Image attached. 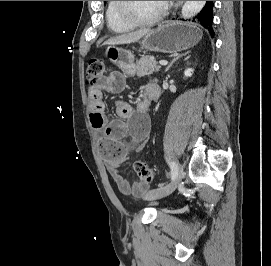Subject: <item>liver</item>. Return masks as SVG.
I'll return each mask as SVG.
<instances>
[{"mask_svg":"<svg viewBox=\"0 0 271 266\" xmlns=\"http://www.w3.org/2000/svg\"><path fill=\"white\" fill-rule=\"evenodd\" d=\"M149 32H150V28H144V29L137 30L135 32L122 34V35L115 36L108 39L107 41L104 42L103 45L130 44L133 42H137Z\"/></svg>","mask_w":271,"mask_h":266,"instance_id":"liver-1","label":"liver"}]
</instances>
